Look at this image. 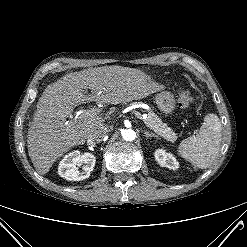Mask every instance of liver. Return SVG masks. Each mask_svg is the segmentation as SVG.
<instances>
[{"instance_id":"6515ba94","label":"liver","mask_w":247,"mask_h":247,"mask_svg":"<svg viewBox=\"0 0 247 247\" xmlns=\"http://www.w3.org/2000/svg\"><path fill=\"white\" fill-rule=\"evenodd\" d=\"M163 87L138 69L122 66L97 67L66 74L46 87L28 131V154L40 175L71 147L83 143L102 127V117L68 121L73 109L86 102L120 104L139 100ZM84 89L91 94L85 95Z\"/></svg>"}]
</instances>
